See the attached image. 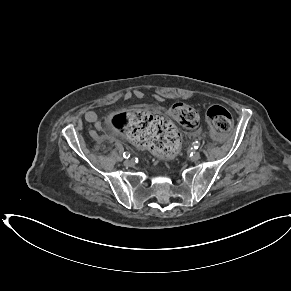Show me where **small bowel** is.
<instances>
[{
	"mask_svg": "<svg viewBox=\"0 0 291 291\" xmlns=\"http://www.w3.org/2000/svg\"><path fill=\"white\" fill-rule=\"evenodd\" d=\"M139 93H140L139 90H133V91H132V95L135 96V97H138ZM84 117H85V120H86L87 122L93 123V124L96 126L97 129H100V124H99V122H98V117H97V115H96L95 112H93V111H87V112L85 113V116H84ZM90 136H91L94 140H96L97 142H103V141H105V139H106L104 135L99 134V133L96 132V131H91V132H90Z\"/></svg>",
	"mask_w": 291,
	"mask_h": 291,
	"instance_id": "small-bowel-1",
	"label": "small bowel"
}]
</instances>
